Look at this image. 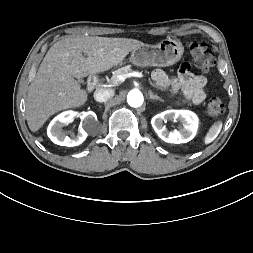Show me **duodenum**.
<instances>
[{
  "instance_id": "duodenum-1",
  "label": "duodenum",
  "mask_w": 253,
  "mask_h": 253,
  "mask_svg": "<svg viewBox=\"0 0 253 253\" xmlns=\"http://www.w3.org/2000/svg\"><path fill=\"white\" fill-rule=\"evenodd\" d=\"M97 83H98V77L96 75H93L88 81V84H87L88 90L92 91L96 87Z\"/></svg>"
}]
</instances>
